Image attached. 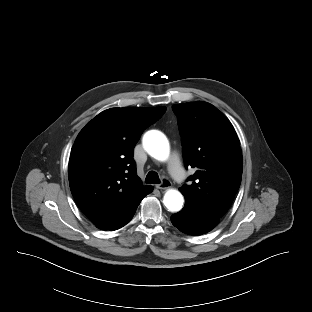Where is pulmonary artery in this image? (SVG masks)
I'll use <instances>...</instances> for the list:
<instances>
[{"label":"pulmonary artery","mask_w":312,"mask_h":312,"mask_svg":"<svg viewBox=\"0 0 312 312\" xmlns=\"http://www.w3.org/2000/svg\"><path fill=\"white\" fill-rule=\"evenodd\" d=\"M168 167L172 177L177 181V183L180 185H184L186 183V174L183 170L178 155H172Z\"/></svg>","instance_id":"obj_1"}]
</instances>
